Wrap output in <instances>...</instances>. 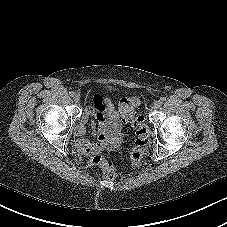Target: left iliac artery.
I'll use <instances>...</instances> for the list:
<instances>
[{"label":"left iliac artery","mask_w":227,"mask_h":227,"mask_svg":"<svg viewBox=\"0 0 227 227\" xmlns=\"http://www.w3.org/2000/svg\"><path fill=\"white\" fill-rule=\"evenodd\" d=\"M159 101L162 104V103H164L166 101V98L165 97H161Z\"/></svg>","instance_id":"left-iliac-artery-1"}]
</instances>
